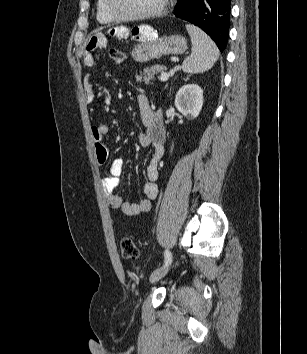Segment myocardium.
Returning <instances> with one entry per match:
<instances>
[{"mask_svg": "<svg viewBox=\"0 0 307 354\" xmlns=\"http://www.w3.org/2000/svg\"><path fill=\"white\" fill-rule=\"evenodd\" d=\"M169 0H161L158 7L152 11L141 14H124L118 11L115 0H106L107 9L114 19L119 21H138L159 17L165 11Z\"/></svg>", "mask_w": 307, "mask_h": 354, "instance_id": "obj_1", "label": "myocardium"}]
</instances>
